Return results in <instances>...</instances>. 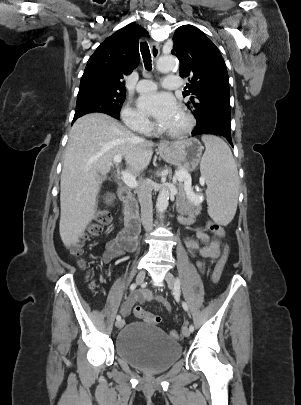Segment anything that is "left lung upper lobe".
Returning a JSON list of instances; mask_svg holds the SVG:
<instances>
[{
    "label": "left lung upper lobe",
    "mask_w": 301,
    "mask_h": 405,
    "mask_svg": "<svg viewBox=\"0 0 301 405\" xmlns=\"http://www.w3.org/2000/svg\"><path fill=\"white\" fill-rule=\"evenodd\" d=\"M171 53L180 61V76L188 77L187 107L197 123L223 120L231 123L228 73L215 44L192 25L179 27Z\"/></svg>",
    "instance_id": "left-lung-upper-lobe-1"
}]
</instances>
